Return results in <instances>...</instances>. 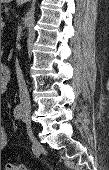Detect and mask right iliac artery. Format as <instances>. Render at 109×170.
<instances>
[{"label":"right iliac artery","instance_id":"obj_1","mask_svg":"<svg viewBox=\"0 0 109 170\" xmlns=\"http://www.w3.org/2000/svg\"><path fill=\"white\" fill-rule=\"evenodd\" d=\"M23 113V108L21 105H17L16 108L14 109V117L16 119H20L22 117Z\"/></svg>","mask_w":109,"mask_h":170}]
</instances>
